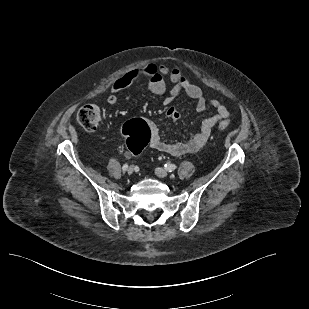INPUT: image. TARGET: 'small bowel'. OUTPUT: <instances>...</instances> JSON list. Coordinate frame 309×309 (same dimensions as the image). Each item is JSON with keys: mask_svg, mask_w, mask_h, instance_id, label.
I'll list each match as a JSON object with an SVG mask.
<instances>
[{"mask_svg": "<svg viewBox=\"0 0 309 309\" xmlns=\"http://www.w3.org/2000/svg\"><path fill=\"white\" fill-rule=\"evenodd\" d=\"M166 80L172 83L168 90L166 102H171L181 93L196 101L197 111H203L209 105L216 110V113L203 120L200 131L188 137L185 141L169 143L161 138L159 128L154 121H147L150 130L151 148L168 153L173 156H181L186 153L198 152L208 141L213 128L222 120L228 119L230 112L227 107L218 99L213 98L209 101L204 96L202 89L194 84L190 78L180 72L175 67H169L161 64H149L129 71L118 78L111 87L107 98L109 105L117 103L118 99L128 91L136 82H144L148 89L156 95H162L167 92ZM167 117L173 121L180 118V114L174 108L167 111ZM130 153H127L129 156Z\"/></svg>", "mask_w": 309, "mask_h": 309, "instance_id": "small-bowel-1", "label": "small bowel"}]
</instances>
